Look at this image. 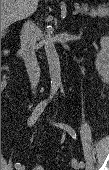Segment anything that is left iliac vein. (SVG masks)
<instances>
[{
    "mask_svg": "<svg viewBox=\"0 0 109 170\" xmlns=\"http://www.w3.org/2000/svg\"><path fill=\"white\" fill-rule=\"evenodd\" d=\"M72 166L76 170H79L80 168H83V167H81L80 162H78L76 159L72 160Z\"/></svg>",
    "mask_w": 109,
    "mask_h": 170,
    "instance_id": "obj_1",
    "label": "left iliac vein"
}]
</instances>
